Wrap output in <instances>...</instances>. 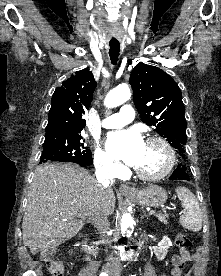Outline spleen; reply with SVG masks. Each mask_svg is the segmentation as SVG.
Listing matches in <instances>:
<instances>
[{
    "instance_id": "3e777b00",
    "label": "spleen",
    "mask_w": 221,
    "mask_h": 276,
    "mask_svg": "<svg viewBox=\"0 0 221 276\" xmlns=\"http://www.w3.org/2000/svg\"><path fill=\"white\" fill-rule=\"evenodd\" d=\"M175 192L185 210V214L179 218L180 224L190 231H200L202 229V213L195 195L186 187H177Z\"/></svg>"
}]
</instances>
